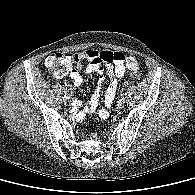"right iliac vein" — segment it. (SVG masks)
I'll return each mask as SVG.
<instances>
[{"instance_id": "obj_1", "label": "right iliac vein", "mask_w": 195, "mask_h": 195, "mask_svg": "<svg viewBox=\"0 0 195 195\" xmlns=\"http://www.w3.org/2000/svg\"><path fill=\"white\" fill-rule=\"evenodd\" d=\"M63 102L67 105L70 102L69 96H64L63 97Z\"/></svg>"}]
</instances>
